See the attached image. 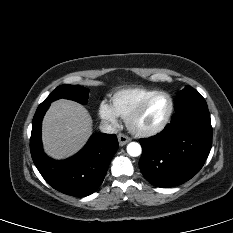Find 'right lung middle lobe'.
Masks as SVG:
<instances>
[{
	"label": "right lung middle lobe",
	"instance_id": "dd1d6c3e",
	"mask_svg": "<svg viewBox=\"0 0 233 233\" xmlns=\"http://www.w3.org/2000/svg\"><path fill=\"white\" fill-rule=\"evenodd\" d=\"M88 93L89 90L82 86L61 85L54 89L53 92L42 102V104H50L51 102L60 98L86 103Z\"/></svg>",
	"mask_w": 233,
	"mask_h": 233
}]
</instances>
